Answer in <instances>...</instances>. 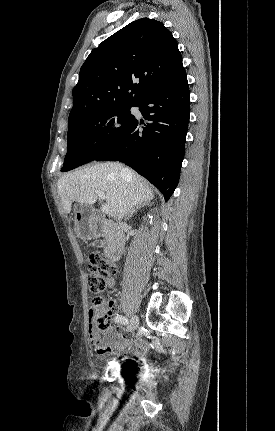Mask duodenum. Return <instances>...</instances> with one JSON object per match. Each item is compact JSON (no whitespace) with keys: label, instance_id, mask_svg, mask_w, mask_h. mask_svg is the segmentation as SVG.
I'll use <instances>...</instances> for the list:
<instances>
[{"label":"duodenum","instance_id":"duodenum-1","mask_svg":"<svg viewBox=\"0 0 275 431\" xmlns=\"http://www.w3.org/2000/svg\"><path fill=\"white\" fill-rule=\"evenodd\" d=\"M100 231L107 232L110 235V243L107 248L108 258L112 261H118L123 254L126 243L124 231L107 219L94 218L92 232L93 234H98Z\"/></svg>","mask_w":275,"mask_h":431}]
</instances>
